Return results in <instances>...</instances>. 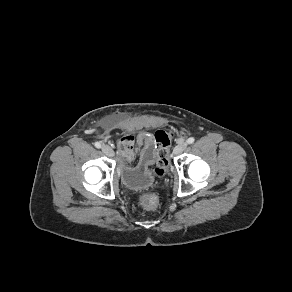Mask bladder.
I'll list each match as a JSON object with an SVG mask.
<instances>
[{
    "label": "bladder",
    "instance_id": "obj_1",
    "mask_svg": "<svg viewBox=\"0 0 292 292\" xmlns=\"http://www.w3.org/2000/svg\"><path fill=\"white\" fill-rule=\"evenodd\" d=\"M122 182L132 190H140L151 186L154 182V175L151 170L143 171L124 170L122 172Z\"/></svg>",
    "mask_w": 292,
    "mask_h": 292
}]
</instances>
